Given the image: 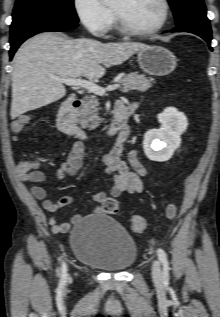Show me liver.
<instances>
[{
  "mask_svg": "<svg viewBox=\"0 0 220 317\" xmlns=\"http://www.w3.org/2000/svg\"><path fill=\"white\" fill-rule=\"evenodd\" d=\"M145 47L147 45L137 42L68 39L51 32L32 37L21 45L13 58L11 118L66 95L64 85L51 76L101 78L106 67L123 63Z\"/></svg>",
  "mask_w": 220,
  "mask_h": 317,
  "instance_id": "6515ba94",
  "label": "liver"
}]
</instances>
